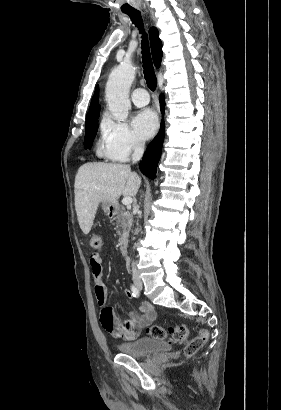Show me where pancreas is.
I'll list each match as a JSON object with an SVG mask.
<instances>
[{"instance_id":"cf45deb5","label":"pancreas","mask_w":281,"mask_h":410,"mask_svg":"<svg viewBox=\"0 0 281 410\" xmlns=\"http://www.w3.org/2000/svg\"><path fill=\"white\" fill-rule=\"evenodd\" d=\"M116 222L118 225L117 234L122 238L128 236L131 229L133 216L130 212L126 211L122 205L116 206Z\"/></svg>"}]
</instances>
